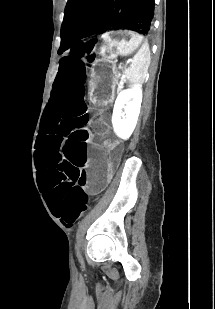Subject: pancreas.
<instances>
[{"label":"pancreas","mask_w":215,"mask_h":309,"mask_svg":"<svg viewBox=\"0 0 215 309\" xmlns=\"http://www.w3.org/2000/svg\"><path fill=\"white\" fill-rule=\"evenodd\" d=\"M120 88H121V84H118V88H117V90H120Z\"/></svg>","instance_id":"obj_1"}]
</instances>
